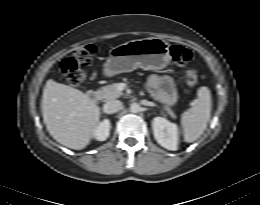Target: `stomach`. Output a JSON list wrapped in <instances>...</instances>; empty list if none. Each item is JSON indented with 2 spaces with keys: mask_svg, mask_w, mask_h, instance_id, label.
Masks as SVG:
<instances>
[{
  "mask_svg": "<svg viewBox=\"0 0 260 205\" xmlns=\"http://www.w3.org/2000/svg\"><path fill=\"white\" fill-rule=\"evenodd\" d=\"M171 60L169 44L157 37L132 40L114 47L111 50L104 73L108 77L136 68L160 70Z\"/></svg>",
  "mask_w": 260,
  "mask_h": 205,
  "instance_id": "1",
  "label": "stomach"
}]
</instances>
